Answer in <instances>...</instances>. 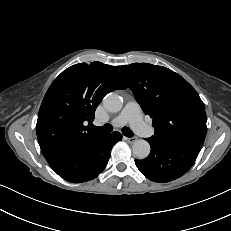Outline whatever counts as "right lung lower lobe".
<instances>
[{
  "label": "right lung lower lobe",
  "mask_w": 231,
  "mask_h": 231,
  "mask_svg": "<svg viewBox=\"0 0 231 231\" xmlns=\"http://www.w3.org/2000/svg\"><path fill=\"white\" fill-rule=\"evenodd\" d=\"M121 139L119 132L102 134L85 148L48 163L63 179L72 183L86 182L96 178L104 170L112 147Z\"/></svg>",
  "instance_id": "obj_1"
}]
</instances>
